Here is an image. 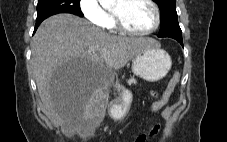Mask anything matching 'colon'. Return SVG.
<instances>
[{
  "mask_svg": "<svg viewBox=\"0 0 227 142\" xmlns=\"http://www.w3.org/2000/svg\"><path fill=\"white\" fill-rule=\"evenodd\" d=\"M179 75L176 74L174 75L171 80L169 81L165 91L163 92V94L153 102V104L151 105L150 107V113L151 114H155L157 113L166 103L167 101L170 99L174 89H175V86L178 84L179 82ZM142 133L140 134H137L135 135L134 137H132L131 139L127 140L126 142H136L137 141V138L141 135Z\"/></svg>",
  "mask_w": 227,
  "mask_h": 142,
  "instance_id": "colon-1",
  "label": "colon"
}]
</instances>
